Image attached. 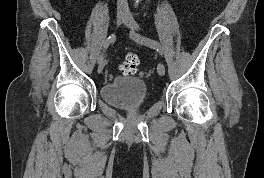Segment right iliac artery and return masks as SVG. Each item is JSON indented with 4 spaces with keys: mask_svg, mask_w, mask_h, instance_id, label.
I'll return each mask as SVG.
<instances>
[{
    "mask_svg": "<svg viewBox=\"0 0 264 178\" xmlns=\"http://www.w3.org/2000/svg\"><path fill=\"white\" fill-rule=\"evenodd\" d=\"M115 39V35L114 34H112L111 36H109L106 40H105V42H104V46H103V52L108 48V46L110 45V43L113 41ZM103 59H104V54L102 53L100 56H99V58H98V61H99V63L101 62V61H103Z\"/></svg>",
    "mask_w": 264,
    "mask_h": 178,
    "instance_id": "right-iliac-artery-1",
    "label": "right iliac artery"
}]
</instances>
